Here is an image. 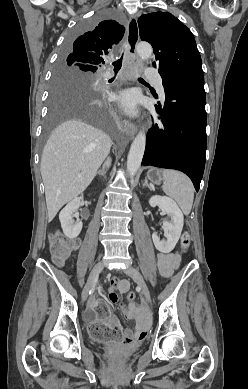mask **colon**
<instances>
[{"instance_id": "colon-1", "label": "colon", "mask_w": 248, "mask_h": 389, "mask_svg": "<svg viewBox=\"0 0 248 389\" xmlns=\"http://www.w3.org/2000/svg\"><path fill=\"white\" fill-rule=\"evenodd\" d=\"M182 248L187 250L190 245V237L187 232L182 235ZM75 247V243L71 240L63 238L59 234H54L50 237V250L52 257L57 264H61ZM127 299L134 301L135 293L130 291L127 293ZM94 318L97 322H90L91 336L98 340L99 344H120L122 334L119 326H106L105 322H109V311L106 301H97L94 306Z\"/></svg>"}]
</instances>
